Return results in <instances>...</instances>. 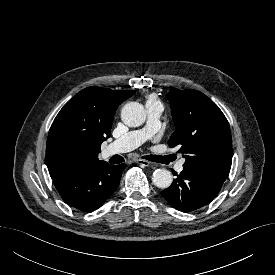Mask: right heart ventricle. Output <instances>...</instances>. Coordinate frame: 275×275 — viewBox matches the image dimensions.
I'll return each instance as SVG.
<instances>
[{
  "label": "right heart ventricle",
  "instance_id": "e07e8e85",
  "mask_svg": "<svg viewBox=\"0 0 275 275\" xmlns=\"http://www.w3.org/2000/svg\"><path fill=\"white\" fill-rule=\"evenodd\" d=\"M149 100H155L154 98H150Z\"/></svg>",
  "mask_w": 275,
  "mask_h": 275
}]
</instances>
